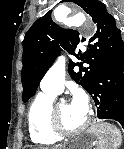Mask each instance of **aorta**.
<instances>
[{
	"label": "aorta",
	"instance_id": "aorta-1",
	"mask_svg": "<svg viewBox=\"0 0 124 149\" xmlns=\"http://www.w3.org/2000/svg\"><path fill=\"white\" fill-rule=\"evenodd\" d=\"M87 21L86 16L79 12L67 19H65L63 22L70 27H79L83 25Z\"/></svg>",
	"mask_w": 124,
	"mask_h": 149
}]
</instances>
